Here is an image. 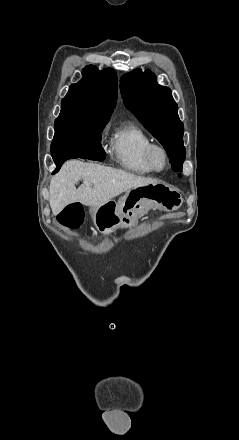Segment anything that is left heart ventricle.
Returning <instances> with one entry per match:
<instances>
[{
	"instance_id": "1",
	"label": "left heart ventricle",
	"mask_w": 239,
	"mask_h": 440,
	"mask_svg": "<svg viewBox=\"0 0 239 440\" xmlns=\"http://www.w3.org/2000/svg\"><path fill=\"white\" fill-rule=\"evenodd\" d=\"M157 164L160 168L163 167V165H164L163 158L161 155L157 156Z\"/></svg>"
}]
</instances>
